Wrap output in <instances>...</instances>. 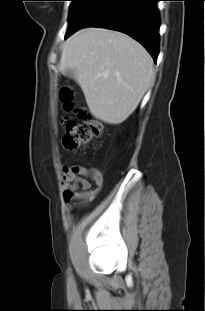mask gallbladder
<instances>
[{
  "label": "gallbladder",
  "instance_id": "bac80fb5",
  "mask_svg": "<svg viewBox=\"0 0 205 311\" xmlns=\"http://www.w3.org/2000/svg\"><path fill=\"white\" fill-rule=\"evenodd\" d=\"M66 77H69V78H74L75 77V73L73 70L71 69H67L64 71L63 73Z\"/></svg>",
  "mask_w": 205,
  "mask_h": 311
}]
</instances>
